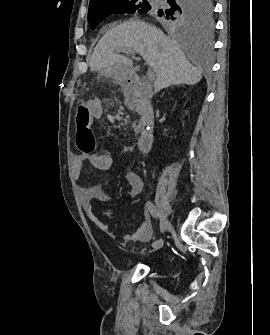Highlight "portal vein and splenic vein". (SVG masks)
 Segmentation results:
<instances>
[{
	"mask_svg": "<svg viewBox=\"0 0 270 335\" xmlns=\"http://www.w3.org/2000/svg\"><path fill=\"white\" fill-rule=\"evenodd\" d=\"M126 52H131V54H134V50H126ZM123 64H128V66H131V64H129V62H127V60H123ZM147 75H148L147 83L149 85H152L154 83V79H155L154 72L152 70H149L147 72Z\"/></svg>",
	"mask_w": 270,
	"mask_h": 335,
	"instance_id": "1",
	"label": "portal vein and splenic vein"
}]
</instances>
